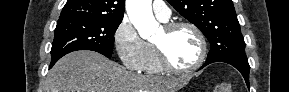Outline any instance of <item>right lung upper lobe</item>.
<instances>
[{
	"label": "right lung upper lobe",
	"mask_w": 289,
	"mask_h": 92,
	"mask_svg": "<svg viewBox=\"0 0 289 92\" xmlns=\"http://www.w3.org/2000/svg\"><path fill=\"white\" fill-rule=\"evenodd\" d=\"M125 0H68L59 20L86 18L117 21L124 16Z\"/></svg>",
	"instance_id": "1"
}]
</instances>
